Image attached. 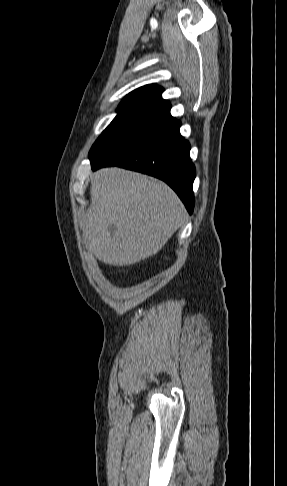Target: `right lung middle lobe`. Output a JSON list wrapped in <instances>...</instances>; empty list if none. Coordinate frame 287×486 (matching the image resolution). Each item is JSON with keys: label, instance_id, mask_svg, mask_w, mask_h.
Listing matches in <instances>:
<instances>
[{"label": "right lung middle lobe", "instance_id": "dd1d6c3e", "mask_svg": "<svg viewBox=\"0 0 287 486\" xmlns=\"http://www.w3.org/2000/svg\"><path fill=\"white\" fill-rule=\"evenodd\" d=\"M117 116L89 152L91 164L128 145L170 117L167 110L152 107H118Z\"/></svg>", "mask_w": 287, "mask_h": 486}]
</instances>
